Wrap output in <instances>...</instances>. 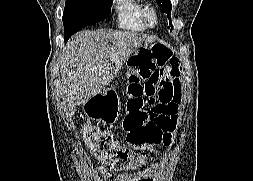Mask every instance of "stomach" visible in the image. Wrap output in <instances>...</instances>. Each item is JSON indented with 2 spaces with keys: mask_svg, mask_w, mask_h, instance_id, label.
<instances>
[{
  "mask_svg": "<svg viewBox=\"0 0 253 181\" xmlns=\"http://www.w3.org/2000/svg\"><path fill=\"white\" fill-rule=\"evenodd\" d=\"M114 90L108 89L103 94H97L90 98L83 104L84 113L91 119L102 120L106 123H112L116 121L120 111V105L117 100V95L113 96ZM109 101L108 99L111 97ZM101 97H106L104 100Z\"/></svg>",
  "mask_w": 253,
  "mask_h": 181,
  "instance_id": "1",
  "label": "stomach"
}]
</instances>
